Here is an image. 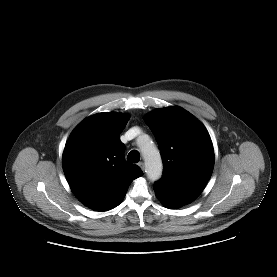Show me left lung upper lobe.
Segmentation results:
<instances>
[{"mask_svg":"<svg viewBox=\"0 0 277 277\" xmlns=\"http://www.w3.org/2000/svg\"><path fill=\"white\" fill-rule=\"evenodd\" d=\"M161 151L163 176L157 184L198 196L211 177L214 150L206 128L180 107L160 108L145 118Z\"/></svg>","mask_w":277,"mask_h":277,"instance_id":"5c2ea615","label":"left lung upper lobe"}]
</instances>
